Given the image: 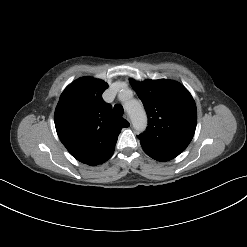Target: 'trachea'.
<instances>
[{
	"mask_svg": "<svg viewBox=\"0 0 247 247\" xmlns=\"http://www.w3.org/2000/svg\"><path fill=\"white\" fill-rule=\"evenodd\" d=\"M114 113L118 116L121 117L124 113L123 107L119 104H116L114 106Z\"/></svg>",
	"mask_w": 247,
	"mask_h": 247,
	"instance_id": "1",
	"label": "trachea"
}]
</instances>
